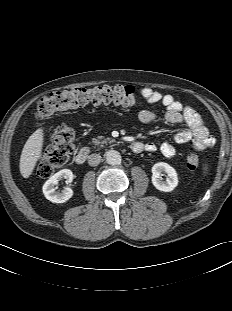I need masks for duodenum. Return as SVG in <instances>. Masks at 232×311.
I'll use <instances>...</instances> for the list:
<instances>
[{
  "mask_svg": "<svg viewBox=\"0 0 232 311\" xmlns=\"http://www.w3.org/2000/svg\"><path fill=\"white\" fill-rule=\"evenodd\" d=\"M131 149L134 151V152H141L144 150V145L140 142H134L131 144ZM91 153V150L89 147H83L82 149H80L78 151V153L76 154L75 156V162L77 164H83L86 162L87 158L89 157Z\"/></svg>",
  "mask_w": 232,
  "mask_h": 311,
  "instance_id": "1",
  "label": "duodenum"
}]
</instances>
